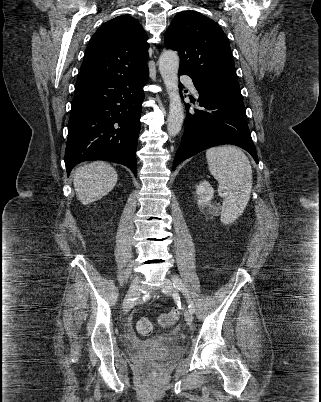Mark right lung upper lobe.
<instances>
[{"mask_svg":"<svg viewBox=\"0 0 321 402\" xmlns=\"http://www.w3.org/2000/svg\"><path fill=\"white\" fill-rule=\"evenodd\" d=\"M147 39L141 24L131 16H118L104 23L87 46L76 84L147 72Z\"/></svg>","mask_w":321,"mask_h":402,"instance_id":"right-lung-upper-lobe-1","label":"right lung upper lobe"}]
</instances>
